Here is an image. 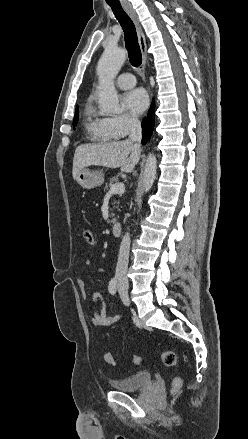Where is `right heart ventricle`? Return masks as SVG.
<instances>
[{
	"instance_id": "right-heart-ventricle-1",
	"label": "right heart ventricle",
	"mask_w": 248,
	"mask_h": 439,
	"mask_svg": "<svg viewBox=\"0 0 248 439\" xmlns=\"http://www.w3.org/2000/svg\"><path fill=\"white\" fill-rule=\"evenodd\" d=\"M83 122L87 134L94 141L113 142L119 138L108 129L105 118L97 112L92 99L85 104Z\"/></svg>"
}]
</instances>
